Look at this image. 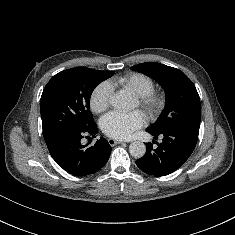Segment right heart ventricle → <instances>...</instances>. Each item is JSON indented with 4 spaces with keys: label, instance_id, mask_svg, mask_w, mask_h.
Returning a JSON list of instances; mask_svg holds the SVG:
<instances>
[{
    "label": "right heart ventricle",
    "instance_id": "e07e8e85",
    "mask_svg": "<svg viewBox=\"0 0 235 235\" xmlns=\"http://www.w3.org/2000/svg\"><path fill=\"white\" fill-rule=\"evenodd\" d=\"M110 85L129 90L136 96L144 95L154 90V81L143 73H129L111 81Z\"/></svg>",
    "mask_w": 235,
    "mask_h": 235
}]
</instances>
